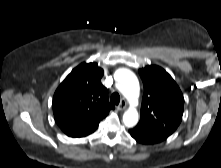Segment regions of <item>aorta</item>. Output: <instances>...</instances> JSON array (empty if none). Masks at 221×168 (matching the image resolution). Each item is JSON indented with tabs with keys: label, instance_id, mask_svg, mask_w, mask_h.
<instances>
[{
	"label": "aorta",
	"instance_id": "1",
	"mask_svg": "<svg viewBox=\"0 0 221 168\" xmlns=\"http://www.w3.org/2000/svg\"><path fill=\"white\" fill-rule=\"evenodd\" d=\"M114 78L116 87L131 104V107L123 114V123L126 127H133L139 120L138 112L134 108L140 93L139 81L132 71L125 68L117 70Z\"/></svg>",
	"mask_w": 221,
	"mask_h": 168
}]
</instances>
